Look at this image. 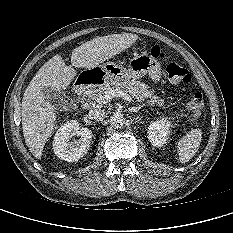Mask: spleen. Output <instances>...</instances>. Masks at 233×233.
I'll use <instances>...</instances> for the list:
<instances>
[{
    "label": "spleen",
    "mask_w": 233,
    "mask_h": 233,
    "mask_svg": "<svg viewBox=\"0 0 233 233\" xmlns=\"http://www.w3.org/2000/svg\"><path fill=\"white\" fill-rule=\"evenodd\" d=\"M202 138V132L196 128L183 136L177 143L176 149L180 163L188 162L197 152Z\"/></svg>",
    "instance_id": "obj_1"
}]
</instances>
